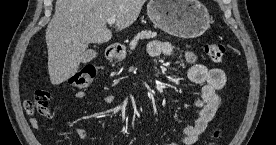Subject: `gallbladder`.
<instances>
[{
    "instance_id": "1",
    "label": "gallbladder",
    "mask_w": 276,
    "mask_h": 145,
    "mask_svg": "<svg viewBox=\"0 0 276 145\" xmlns=\"http://www.w3.org/2000/svg\"><path fill=\"white\" fill-rule=\"evenodd\" d=\"M97 55V52L93 49H88L86 50L81 57V62L82 63H88L91 60H93Z\"/></svg>"
}]
</instances>
